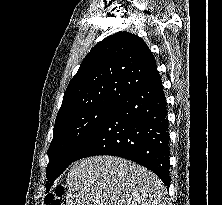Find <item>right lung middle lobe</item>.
I'll return each mask as SVG.
<instances>
[{
    "label": "right lung middle lobe",
    "mask_w": 222,
    "mask_h": 205,
    "mask_svg": "<svg viewBox=\"0 0 222 205\" xmlns=\"http://www.w3.org/2000/svg\"><path fill=\"white\" fill-rule=\"evenodd\" d=\"M117 104L116 101L100 103L55 122L53 140L48 149L46 185H52L74 162L84 143Z\"/></svg>",
    "instance_id": "obj_1"
}]
</instances>
